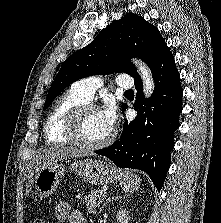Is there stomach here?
Returning <instances> with one entry per match:
<instances>
[{"label":"stomach","mask_w":221,"mask_h":223,"mask_svg":"<svg viewBox=\"0 0 221 223\" xmlns=\"http://www.w3.org/2000/svg\"><path fill=\"white\" fill-rule=\"evenodd\" d=\"M68 163L69 171L96 186L113 183L117 178L115 168L101 160H73ZM65 171V165L62 162H56L41 169L35 178L37 193L45 198L53 194Z\"/></svg>","instance_id":"obj_1"}]
</instances>
